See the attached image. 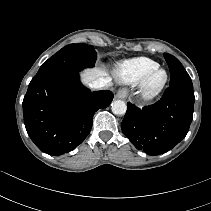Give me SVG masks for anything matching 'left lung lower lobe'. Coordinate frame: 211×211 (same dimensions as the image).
Returning <instances> with one entry per match:
<instances>
[{
    "mask_svg": "<svg viewBox=\"0 0 211 211\" xmlns=\"http://www.w3.org/2000/svg\"><path fill=\"white\" fill-rule=\"evenodd\" d=\"M194 101L193 87L170 86L152 106L140 109L129 102L122 131L137 149L149 155L165 153L188 133Z\"/></svg>",
    "mask_w": 211,
    "mask_h": 211,
    "instance_id": "1",
    "label": "left lung lower lobe"
}]
</instances>
